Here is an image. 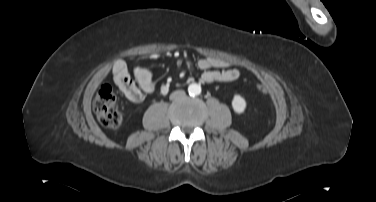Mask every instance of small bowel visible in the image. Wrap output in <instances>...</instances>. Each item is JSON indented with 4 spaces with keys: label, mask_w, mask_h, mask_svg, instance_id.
<instances>
[{
    "label": "small bowel",
    "mask_w": 376,
    "mask_h": 202,
    "mask_svg": "<svg viewBox=\"0 0 376 202\" xmlns=\"http://www.w3.org/2000/svg\"><path fill=\"white\" fill-rule=\"evenodd\" d=\"M183 59L187 67L192 69L188 53H183ZM197 66L203 71L201 79L205 83L232 82L240 76V72L234 64L218 57H202L197 61ZM112 74L118 89L127 100L135 104L143 101L144 93H151L156 88L152 73L147 68H135L132 78L129 67L123 59L114 63Z\"/></svg>",
    "instance_id": "1"
}]
</instances>
